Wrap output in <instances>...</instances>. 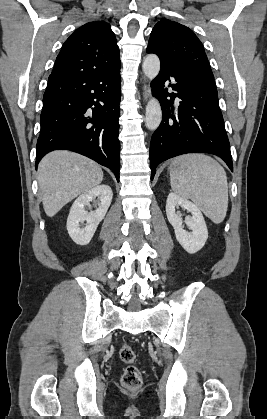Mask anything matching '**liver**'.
Masks as SVG:
<instances>
[{
    "label": "liver",
    "mask_w": 267,
    "mask_h": 419,
    "mask_svg": "<svg viewBox=\"0 0 267 419\" xmlns=\"http://www.w3.org/2000/svg\"><path fill=\"white\" fill-rule=\"evenodd\" d=\"M103 171L94 161L70 151L47 154L38 166L43 208L53 217L77 196L99 185Z\"/></svg>",
    "instance_id": "1"
}]
</instances>
